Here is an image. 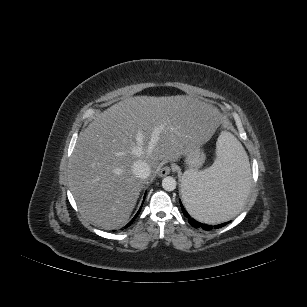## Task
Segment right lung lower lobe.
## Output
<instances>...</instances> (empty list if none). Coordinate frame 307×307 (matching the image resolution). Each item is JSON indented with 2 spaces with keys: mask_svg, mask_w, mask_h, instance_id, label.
<instances>
[{
  "mask_svg": "<svg viewBox=\"0 0 307 307\" xmlns=\"http://www.w3.org/2000/svg\"><path fill=\"white\" fill-rule=\"evenodd\" d=\"M140 210H141V208L139 209V211H138V213L135 215V217L125 226V228L128 227V226H130V225L133 223V221L135 220V218L138 216Z\"/></svg>",
  "mask_w": 307,
  "mask_h": 307,
  "instance_id": "obj_1",
  "label": "right lung lower lobe"
}]
</instances>
